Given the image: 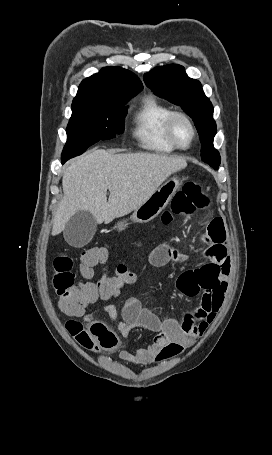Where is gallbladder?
I'll use <instances>...</instances> for the list:
<instances>
[{"mask_svg":"<svg viewBox=\"0 0 272 455\" xmlns=\"http://www.w3.org/2000/svg\"><path fill=\"white\" fill-rule=\"evenodd\" d=\"M97 223L93 215L85 210L76 212L66 223L63 235L66 242L74 247L86 245L94 236Z\"/></svg>","mask_w":272,"mask_h":455,"instance_id":"bac80fb5","label":"gallbladder"}]
</instances>
